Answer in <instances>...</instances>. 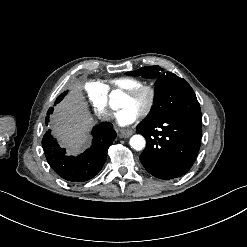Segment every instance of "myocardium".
<instances>
[{
    "label": "myocardium",
    "instance_id": "obj_1",
    "mask_svg": "<svg viewBox=\"0 0 247 247\" xmlns=\"http://www.w3.org/2000/svg\"><path fill=\"white\" fill-rule=\"evenodd\" d=\"M142 95L146 96V105L142 109V113L144 115H148L151 113L156 99V92L151 86H140L129 92L130 98L136 100L140 98Z\"/></svg>",
    "mask_w": 247,
    "mask_h": 247
}]
</instances>
